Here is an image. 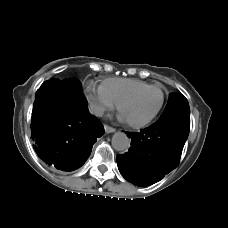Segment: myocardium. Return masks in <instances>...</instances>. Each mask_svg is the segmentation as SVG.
I'll use <instances>...</instances> for the list:
<instances>
[{
  "label": "myocardium",
  "mask_w": 228,
  "mask_h": 228,
  "mask_svg": "<svg viewBox=\"0 0 228 228\" xmlns=\"http://www.w3.org/2000/svg\"><path fill=\"white\" fill-rule=\"evenodd\" d=\"M149 90H157L159 91L160 95H161V98H160V102L156 108V110L148 117L146 118L145 120L141 121V122H131V121H127V123L129 124V126L133 127V128H142V127H145L146 125H148L150 122H152V120L158 115V113L160 112L162 106H163V103H164V93L162 91L161 88H159L158 86H155V85H150L146 88H143V89H140V90H137V91H134L130 94H128L127 96H125L123 99L120 100V102L117 104V108L119 110V112L122 114V107L125 103H127L129 100H131L132 98L136 97L137 95H140L146 91H149Z\"/></svg>",
  "instance_id": "f54148a6"
}]
</instances>
